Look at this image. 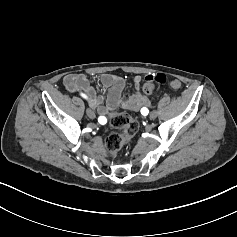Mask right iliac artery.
<instances>
[{"label": "right iliac artery", "instance_id": "82829eb1", "mask_svg": "<svg viewBox=\"0 0 237 237\" xmlns=\"http://www.w3.org/2000/svg\"><path fill=\"white\" fill-rule=\"evenodd\" d=\"M84 98H86V95L85 94H81ZM98 122L100 123V124H105L106 122H107V119L104 117V116H100L99 118H98Z\"/></svg>", "mask_w": 237, "mask_h": 237}]
</instances>
